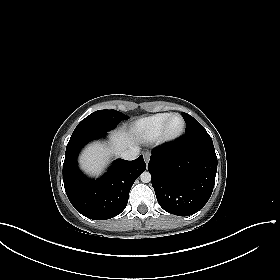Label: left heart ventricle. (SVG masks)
<instances>
[{"instance_id":"b2bd125f","label":"left heart ventricle","mask_w":280,"mask_h":280,"mask_svg":"<svg viewBox=\"0 0 280 280\" xmlns=\"http://www.w3.org/2000/svg\"><path fill=\"white\" fill-rule=\"evenodd\" d=\"M182 127V120L179 117H174L171 119L168 132L169 134H176Z\"/></svg>"}]
</instances>
